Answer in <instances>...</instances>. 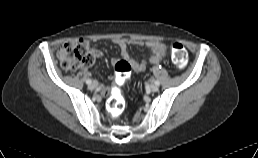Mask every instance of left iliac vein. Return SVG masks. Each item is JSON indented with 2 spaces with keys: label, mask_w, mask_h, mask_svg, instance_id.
Masks as SVG:
<instances>
[{
  "label": "left iliac vein",
  "mask_w": 258,
  "mask_h": 158,
  "mask_svg": "<svg viewBox=\"0 0 258 158\" xmlns=\"http://www.w3.org/2000/svg\"><path fill=\"white\" fill-rule=\"evenodd\" d=\"M158 89H159V86H158V85H156V84H151V85H150V90H151L152 92H157Z\"/></svg>",
  "instance_id": "obj_1"
}]
</instances>
